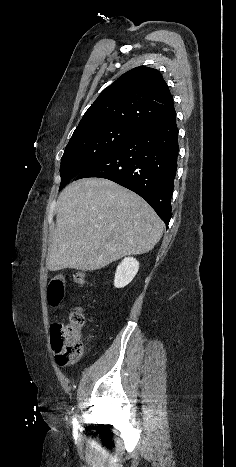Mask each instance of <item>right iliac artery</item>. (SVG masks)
Listing matches in <instances>:
<instances>
[{"instance_id": "82829eb1", "label": "right iliac artery", "mask_w": 236, "mask_h": 467, "mask_svg": "<svg viewBox=\"0 0 236 467\" xmlns=\"http://www.w3.org/2000/svg\"><path fill=\"white\" fill-rule=\"evenodd\" d=\"M73 423H74V424H77V423H78L77 420H76L75 418L73 419Z\"/></svg>"}]
</instances>
